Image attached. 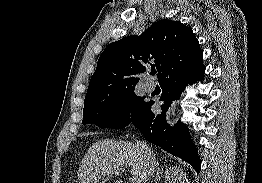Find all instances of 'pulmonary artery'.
<instances>
[{"label": "pulmonary artery", "mask_w": 262, "mask_h": 183, "mask_svg": "<svg viewBox=\"0 0 262 183\" xmlns=\"http://www.w3.org/2000/svg\"><path fill=\"white\" fill-rule=\"evenodd\" d=\"M144 89L146 92H152L155 89V85L153 83H145Z\"/></svg>", "instance_id": "pulmonary-artery-1"}]
</instances>
